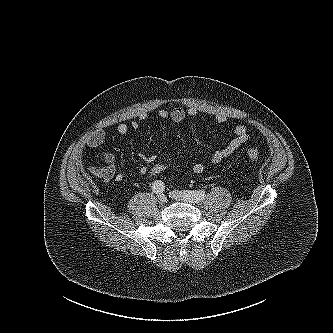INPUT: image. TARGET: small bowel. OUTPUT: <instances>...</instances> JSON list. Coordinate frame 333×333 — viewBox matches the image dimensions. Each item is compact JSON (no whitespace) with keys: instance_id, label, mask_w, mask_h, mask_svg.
<instances>
[{"instance_id":"small-bowel-1","label":"small bowel","mask_w":333,"mask_h":333,"mask_svg":"<svg viewBox=\"0 0 333 333\" xmlns=\"http://www.w3.org/2000/svg\"><path fill=\"white\" fill-rule=\"evenodd\" d=\"M197 114L195 108L183 109L181 107H172L170 109L161 108L158 111V116L161 119H170L174 123H181L186 117H194ZM215 121L218 124H224L226 118L222 114L215 115ZM139 127L138 122L132 121L129 124L119 123L116 127V131L120 135H125L129 130H137ZM105 140V133L103 130L98 129L91 133L87 140V145L92 148L100 147ZM249 140V133L247 127L243 123H239L235 126L233 130V137L228 142V144L220 149H216L211 156V162L213 164H219L228 157H230L240 146L246 143ZM100 157L104 162V166L97 167L92 169V173L99 179L104 181H122L124 179V174L118 172L115 166L114 157L109 152H101ZM140 160L143 162V165L139 168V173L144 175L148 173L149 166L153 164L157 156L155 154L140 153ZM192 170L196 174H200L205 170V164L202 162H196Z\"/></svg>"}]
</instances>
